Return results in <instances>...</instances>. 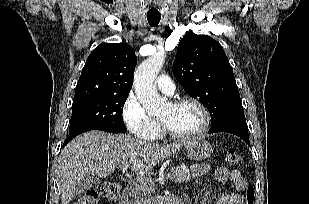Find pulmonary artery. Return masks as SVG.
<instances>
[{
  "instance_id": "1",
  "label": "pulmonary artery",
  "mask_w": 309,
  "mask_h": 204,
  "mask_svg": "<svg viewBox=\"0 0 309 204\" xmlns=\"http://www.w3.org/2000/svg\"><path fill=\"white\" fill-rule=\"evenodd\" d=\"M158 89L166 94H172L175 90V85L172 79L167 75H160L156 79Z\"/></svg>"
}]
</instances>
